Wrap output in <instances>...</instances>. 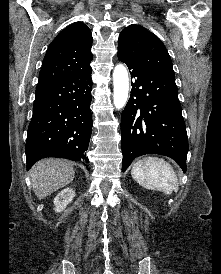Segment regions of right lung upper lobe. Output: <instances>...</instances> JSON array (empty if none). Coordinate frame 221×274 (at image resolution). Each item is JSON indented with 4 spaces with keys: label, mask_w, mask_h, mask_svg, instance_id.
Here are the masks:
<instances>
[{
    "label": "right lung upper lobe",
    "mask_w": 221,
    "mask_h": 274,
    "mask_svg": "<svg viewBox=\"0 0 221 274\" xmlns=\"http://www.w3.org/2000/svg\"><path fill=\"white\" fill-rule=\"evenodd\" d=\"M91 47V31L85 24L78 22L66 27L47 49L37 89L90 70Z\"/></svg>",
    "instance_id": "cb5924a9"
}]
</instances>
